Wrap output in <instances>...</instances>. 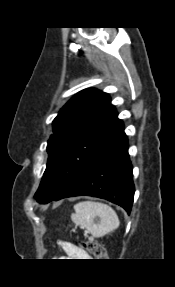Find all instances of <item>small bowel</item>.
Listing matches in <instances>:
<instances>
[{"label":"small bowel","instance_id":"1","mask_svg":"<svg viewBox=\"0 0 175 287\" xmlns=\"http://www.w3.org/2000/svg\"><path fill=\"white\" fill-rule=\"evenodd\" d=\"M57 243L70 256L80 257L86 255L84 252L80 251L75 246L66 241L58 240Z\"/></svg>","mask_w":175,"mask_h":287}]
</instances>
